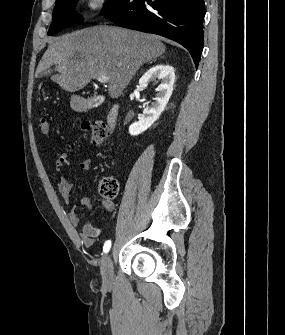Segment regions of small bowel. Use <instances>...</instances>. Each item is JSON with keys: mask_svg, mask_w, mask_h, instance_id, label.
Segmentation results:
<instances>
[{"mask_svg": "<svg viewBox=\"0 0 285 335\" xmlns=\"http://www.w3.org/2000/svg\"><path fill=\"white\" fill-rule=\"evenodd\" d=\"M55 163L59 169L63 170L69 165L68 155L65 152H57L55 155ZM79 167L83 171H88L91 167V160L88 158L82 160L79 164ZM72 187V182L67 178V176L62 175L56 184V190L60 194L63 202H69ZM95 202L96 199L93 196H86L81 199V206H83L84 208H91L95 204ZM103 205L108 211L114 210V204L111 201H104ZM68 219L74 227H78L81 225V219L77 214L76 207H72L69 210ZM101 233V228L95 227L92 225L91 222L86 221L82 224L80 238L85 246L90 247L95 243L96 238L99 237Z\"/></svg>", "mask_w": 285, "mask_h": 335, "instance_id": "small-bowel-1", "label": "small bowel"}]
</instances>
